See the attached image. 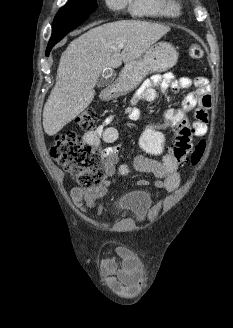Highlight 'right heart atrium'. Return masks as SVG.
Returning a JSON list of instances; mask_svg holds the SVG:
<instances>
[{
	"mask_svg": "<svg viewBox=\"0 0 233 328\" xmlns=\"http://www.w3.org/2000/svg\"><path fill=\"white\" fill-rule=\"evenodd\" d=\"M106 2L110 8L115 10L121 9L125 4V0H106Z\"/></svg>",
	"mask_w": 233,
	"mask_h": 328,
	"instance_id": "1",
	"label": "right heart atrium"
}]
</instances>
